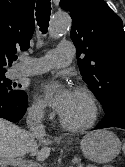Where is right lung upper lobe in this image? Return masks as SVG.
Returning <instances> with one entry per match:
<instances>
[{
    "label": "right lung upper lobe",
    "mask_w": 125,
    "mask_h": 167,
    "mask_svg": "<svg viewBox=\"0 0 125 167\" xmlns=\"http://www.w3.org/2000/svg\"><path fill=\"white\" fill-rule=\"evenodd\" d=\"M35 0H0V73L17 50L26 51L34 32Z\"/></svg>",
    "instance_id": "right-lung-upper-lobe-1"
}]
</instances>
